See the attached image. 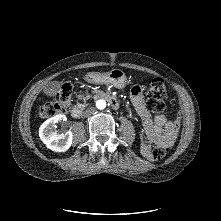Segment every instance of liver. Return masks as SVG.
<instances>
[{
	"mask_svg": "<svg viewBox=\"0 0 221 221\" xmlns=\"http://www.w3.org/2000/svg\"><path fill=\"white\" fill-rule=\"evenodd\" d=\"M46 93H47L49 96H52V95H54V94L56 93V91L50 89V90H47Z\"/></svg>",
	"mask_w": 221,
	"mask_h": 221,
	"instance_id": "1",
	"label": "liver"
}]
</instances>
